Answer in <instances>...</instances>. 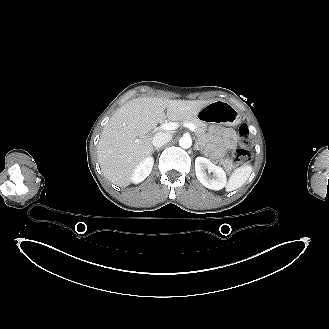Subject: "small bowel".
<instances>
[{"mask_svg": "<svg viewBox=\"0 0 329 329\" xmlns=\"http://www.w3.org/2000/svg\"><path fill=\"white\" fill-rule=\"evenodd\" d=\"M210 139L213 149L218 156H222L233 149L237 143V136L234 130L219 126L210 128Z\"/></svg>", "mask_w": 329, "mask_h": 329, "instance_id": "c3829d8e", "label": "small bowel"}]
</instances>
